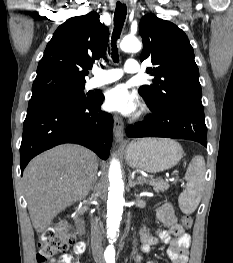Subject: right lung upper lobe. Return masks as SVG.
Segmentation results:
<instances>
[{
	"mask_svg": "<svg viewBox=\"0 0 233 263\" xmlns=\"http://www.w3.org/2000/svg\"><path fill=\"white\" fill-rule=\"evenodd\" d=\"M108 37V28L96 12L60 25L38 64L32 96L85 85V69L105 54Z\"/></svg>",
	"mask_w": 233,
	"mask_h": 263,
	"instance_id": "obj_1",
	"label": "right lung upper lobe"
}]
</instances>
